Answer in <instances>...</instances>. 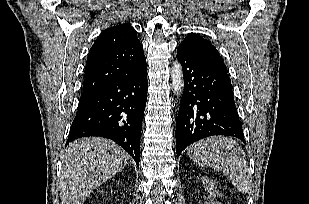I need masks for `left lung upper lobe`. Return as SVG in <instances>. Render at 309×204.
<instances>
[{"label": "left lung upper lobe", "mask_w": 309, "mask_h": 204, "mask_svg": "<svg viewBox=\"0 0 309 204\" xmlns=\"http://www.w3.org/2000/svg\"><path fill=\"white\" fill-rule=\"evenodd\" d=\"M178 49L191 53L192 56L227 71L216 48L206 39L195 33H189Z\"/></svg>", "instance_id": "5c2ea615"}]
</instances>
